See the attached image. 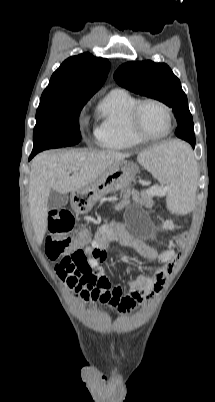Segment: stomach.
Returning <instances> with one entry per match:
<instances>
[{"label":"stomach","instance_id":"1","mask_svg":"<svg viewBox=\"0 0 215 402\" xmlns=\"http://www.w3.org/2000/svg\"><path fill=\"white\" fill-rule=\"evenodd\" d=\"M138 172L139 167L131 161L113 164L93 183L72 193L74 210L80 214L88 213L100 198L128 187Z\"/></svg>","mask_w":215,"mask_h":402}]
</instances>
